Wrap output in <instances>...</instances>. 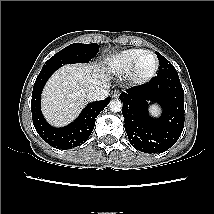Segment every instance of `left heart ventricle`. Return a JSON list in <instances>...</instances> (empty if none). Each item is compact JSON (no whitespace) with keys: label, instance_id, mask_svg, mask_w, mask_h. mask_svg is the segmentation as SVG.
Wrapping results in <instances>:
<instances>
[{"label":"left heart ventricle","instance_id":"left-heart-ventricle-1","mask_svg":"<svg viewBox=\"0 0 214 214\" xmlns=\"http://www.w3.org/2000/svg\"><path fill=\"white\" fill-rule=\"evenodd\" d=\"M155 66V58L152 55H146L141 60L139 72L141 74L149 73Z\"/></svg>","mask_w":214,"mask_h":214}]
</instances>
